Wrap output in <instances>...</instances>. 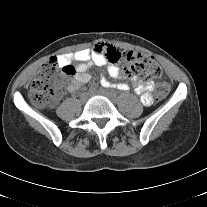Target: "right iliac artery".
Returning a JSON list of instances; mask_svg holds the SVG:
<instances>
[{
    "mask_svg": "<svg viewBox=\"0 0 207 207\" xmlns=\"http://www.w3.org/2000/svg\"><path fill=\"white\" fill-rule=\"evenodd\" d=\"M101 85L104 86V87H109L110 86V83L107 82L104 78L101 79ZM91 90V88H90Z\"/></svg>",
    "mask_w": 207,
    "mask_h": 207,
    "instance_id": "82829eb1",
    "label": "right iliac artery"
}]
</instances>
